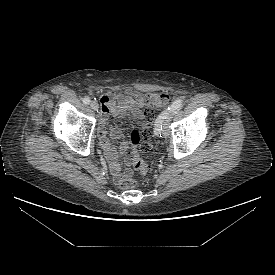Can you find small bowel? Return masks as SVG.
I'll list each match as a JSON object with an SVG mask.
<instances>
[{
  "instance_id": "1",
  "label": "small bowel",
  "mask_w": 275,
  "mask_h": 275,
  "mask_svg": "<svg viewBox=\"0 0 275 275\" xmlns=\"http://www.w3.org/2000/svg\"><path fill=\"white\" fill-rule=\"evenodd\" d=\"M101 118L99 126V137L105 149L106 157L110 165L111 174L116 183L120 184L130 176V171L121 172L120 164L117 160V153L114 141L120 138L121 130L112 126L109 122L110 116L118 120L125 119L128 122L144 128V96L137 90L128 88L123 92H108L101 97ZM109 134L110 138L107 137ZM128 149L126 142L119 146L120 152L124 153ZM127 163L133 161L132 153L126 155Z\"/></svg>"
}]
</instances>
